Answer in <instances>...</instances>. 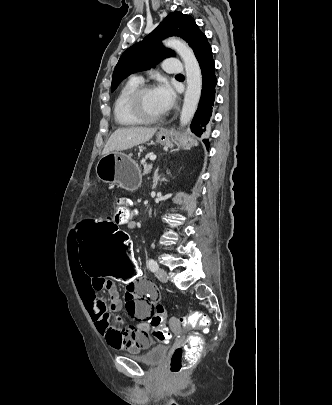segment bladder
<instances>
[{"mask_svg":"<svg viewBox=\"0 0 332 405\" xmlns=\"http://www.w3.org/2000/svg\"><path fill=\"white\" fill-rule=\"evenodd\" d=\"M168 348L165 345H158L153 347L147 352H137L132 349H127L128 355L132 356L136 360L142 362L145 365L155 366L160 364L166 357Z\"/></svg>","mask_w":332,"mask_h":405,"instance_id":"obj_1","label":"bladder"}]
</instances>
